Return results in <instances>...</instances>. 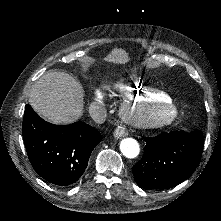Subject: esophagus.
Listing matches in <instances>:
<instances>
[{"label":"esophagus","instance_id":"34e87169","mask_svg":"<svg viewBox=\"0 0 221 221\" xmlns=\"http://www.w3.org/2000/svg\"><path fill=\"white\" fill-rule=\"evenodd\" d=\"M115 134L117 136L125 137V136H127L128 133L126 132V130L124 128H119L115 131Z\"/></svg>","mask_w":221,"mask_h":221}]
</instances>
